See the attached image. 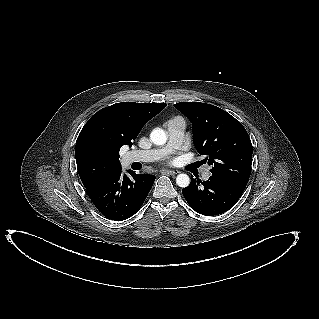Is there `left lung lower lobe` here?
Here are the masks:
<instances>
[{"label":"left lung lower lobe","instance_id":"1","mask_svg":"<svg viewBox=\"0 0 319 319\" xmlns=\"http://www.w3.org/2000/svg\"><path fill=\"white\" fill-rule=\"evenodd\" d=\"M245 188L219 176L212 175L207 181L192 178L188 187L182 189L190 207L199 214L213 216L232 208Z\"/></svg>","mask_w":319,"mask_h":319}]
</instances>
